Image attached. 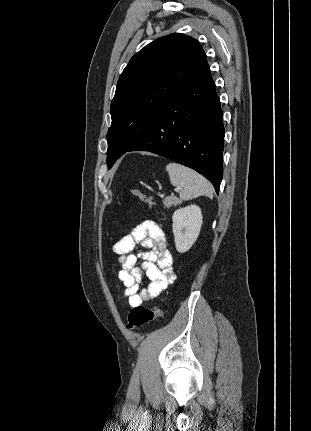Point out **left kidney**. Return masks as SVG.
Returning a JSON list of instances; mask_svg holds the SVG:
<instances>
[{
	"instance_id": "5707ae66",
	"label": "left kidney",
	"mask_w": 311,
	"mask_h": 431,
	"mask_svg": "<svg viewBox=\"0 0 311 431\" xmlns=\"http://www.w3.org/2000/svg\"><path fill=\"white\" fill-rule=\"evenodd\" d=\"M202 219L199 206H186L174 212L172 231L177 251L184 253L190 249L200 233Z\"/></svg>"
}]
</instances>
